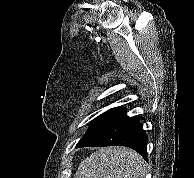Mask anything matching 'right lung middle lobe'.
<instances>
[{
  "label": "right lung middle lobe",
  "instance_id": "dd1d6c3e",
  "mask_svg": "<svg viewBox=\"0 0 194 178\" xmlns=\"http://www.w3.org/2000/svg\"><path fill=\"white\" fill-rule=\"evenodd\" d=\"M121 107H115L112 109H109L108 111L104 112L103 114L99 115L96 117L92 122L91 125L89 126V129L87 133L92 130L94 127H96L98 124H100L102 121H104L106 118H108L110 115L115 113L117 110H119Z\"/></svg>",
  "mask_w": 194,
  "mask_h": 178
}]
</instances>
